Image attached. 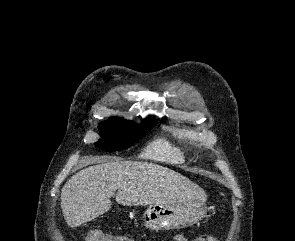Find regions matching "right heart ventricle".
I'll return each instance as SVG.
<instances>
[{"instance_id":"right-heart-ventricle-1","label":"right heart ventricle","mask_w":295,"mask_h":241,"mask_svg":"<svg viewBox=\"0 0 295 241\" xmlns=\"http://www.w3.org/2000/svg\"><path fill=\"white\" fill-rule=\"evenodd\" d=\"M143 156L172 165L182 164L185 161L184 151L164 139L152 142L145 149Z\"/></svg>"}]
</instances>
